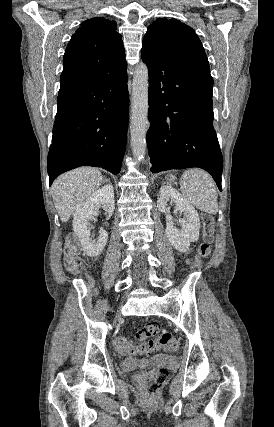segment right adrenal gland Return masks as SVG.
<instances>
[{"mask_svg":"<svg viewBox=\"0 0 274 427\" xmlns=\"http://www.w3.org/2000/svg\"><path fill=\"white\" fill-rule=\"evenodd\" d=\"M104 182H108V184H110V180H104Z\"/></svg>","mask_w":274,"mask_h":427,"instance_id":"2a0ac1e0","label":"right adrenal gland"}]
</instances>
